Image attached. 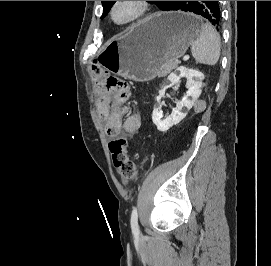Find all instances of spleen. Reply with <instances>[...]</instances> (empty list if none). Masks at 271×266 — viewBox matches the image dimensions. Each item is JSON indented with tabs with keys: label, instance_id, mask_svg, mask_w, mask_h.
Instances as JSON below:
<instances>
[{
	"label": "spleen",
	"instance_id": "1",
	"mask_svg": "<svg viewBox=\"0 0 271 266\" xmlns=\"http://www.w3.org/2000/svg\"><path fill=\"white\" fill-rule=\"evenodd\" d=\"M192 56L196 62L215 65L220 57V36L209 23L201 26L197 40L191 43Z\"/></svg>",
	"mask_w": 271,
	"mask_h": 266
}]
</instances>
